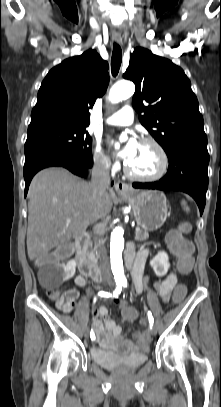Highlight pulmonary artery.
<instances>
[{
    "label": "pulmonary artery",
    "mask_w": 221,
    "mask_h": 407,
    "mask_svg": "<svg viewBox=\"0 0 221 407\" xmlns=\"http://www.w3.org/2000/svg\"><path fill=\"white\" fill-rule=\"evenodd\" d=\"M134 113L130 106H124L119 111L111 115L106 123L116 126H127L133 122Z\"/></svg>",
    "instance_id": "1"
}]
</instances>
